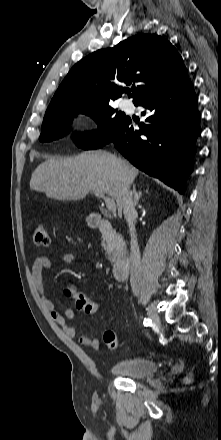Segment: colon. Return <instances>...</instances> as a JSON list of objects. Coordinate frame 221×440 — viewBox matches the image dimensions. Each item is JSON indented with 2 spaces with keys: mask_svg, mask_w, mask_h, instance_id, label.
Listing matches in <instances>:
<instances>
[{
  "mask_svg": "<svg viewBox=\"0 0 221 440\" xmlns=\"http://www.w3.org/2000/svg\"><path fill=\"white\" fill-rule=\"evenodd\" d=\"M34 242L37 245L44 247L48 246L50 243L47 227L42 223L38 224L34 230ZM65 293L68 297H72L71 290H67ZM73 298H74L75 308L79 311H83L88 314H93L97 312L98 309L100 308L99 303L90 300L80 292L74 295ZM103 339L106 346L109 349L115 350L119 347L117 336L113 330L110 329L106 330L104 332ZM190 381H191V376H188L186 378V382H190Z\"/></svg>",
  "mask_w": 221,
  "mask_h": 440,
  "instance_id": "obj_1",
  "label": "colon"
}]
</instances>
